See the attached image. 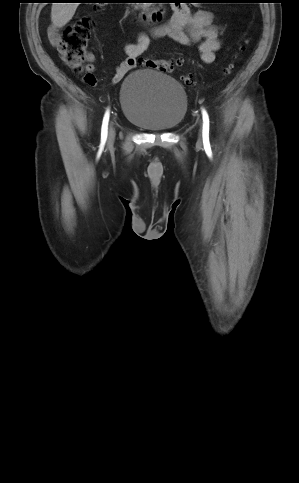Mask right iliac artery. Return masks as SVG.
Instances as JSON below:
<instances>
[{
	"label": "right iliac artery",
	"instance_id": "82829eb1",
	"mask_svg": "<svg viewBox=\"0 0 299 483\" xmlns=\"http://www.w3.org/2000/svg\"><path fill=\"white\" fill-rule=\"evenodd\" d=\"M108 121H109V111L105 113L103 118V124L101 129V144L104 145L106 138H107V129H108Z\"/></svg>",
	"mask_w": 299,
	"mask_h": 483
}]
</instances>
